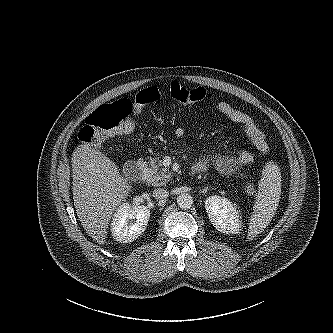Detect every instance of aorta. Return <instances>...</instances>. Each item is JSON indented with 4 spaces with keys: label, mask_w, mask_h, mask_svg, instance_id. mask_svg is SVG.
<instances>
[{
    "label": "aorta",
    "mask_w": 333,
    "mask_h": 333,
    "mask_svg": "<svg viewBox=\"0 0 333 333\" xmlns=\"http://www.w3.org/2000/svg\"><path fill=\"white\" fill-rule=\"evenodd\" d=\"M177 203L181 209H190L193 204V197L188 193H183L177 197Z\"/></svg>",
    "instance_id": "aorta-1"
}]
</instances>
